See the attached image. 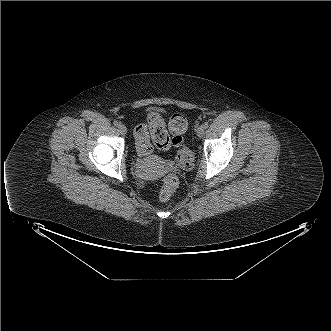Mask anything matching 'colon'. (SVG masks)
I'll list each match as a JSON object with an SVG mask.
<instances>
[{"label":"colon","instance_id":"colon-1","mask_svg":"<svg viewBox=\"0 0 331 331\" xmlns=\"http://www.w3.org/2000/svg\"><path fill=\"white\" fill-rule=\"evenodd\" d=\"M147 122L151 130L152 139L155 146L160 150H167L171 145L179 147L177 160L182 165H188L192 160L190 151L183 146L184 135L188 128V120L182 114H174L171 116L168 128V133L162 118L156 113H150L147 116ZM136 133L140 137L142 149L148 147L149 138L146 134V127L138 126ZM177 187V180L174 176L168 175L162 180L159 197L163 201H167L173 195Z\"/></svg>","mask_w":331,"mask_h":331}]
</instances>
